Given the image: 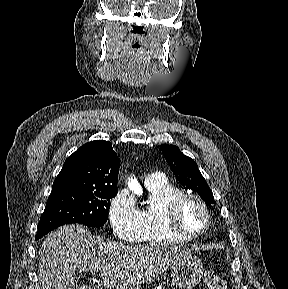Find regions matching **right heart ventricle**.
I'll use <instances>...</instances> for the list:
<instances>
[{
  "label": "right heart ventricle",
  "instance_id": "e07e8e85",
  "mask_svg": "<svg viewBox=\"0 0 288 289\" xmlns=\"http://www.w3.org/2000/svg\"><path fill=\"white\" fill-rule=\"evenodd\" d=\"M148 201L140 210L143 228L140 240L154 245H174L186 242L173 233L165 224L164 207L167 201L182 193V190L165 179L159 184L146 185Z\"/></svg>",
  "mask_w": 288,
  "mask_h": 289
}]
</instances>
